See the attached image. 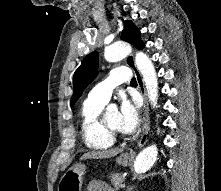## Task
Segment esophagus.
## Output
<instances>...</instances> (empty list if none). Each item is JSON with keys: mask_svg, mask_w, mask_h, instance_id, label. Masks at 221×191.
<instances>
[{"mask_svg": "<svg viewBox=\"0 0 221 191\" xmlns=\"http://www.w3.org/2000/svg\"><path fill=\"white\" fill-rule=\"evenodd\" d=\"M127 61L132 66V68L134 70L139 90H140V92L143 96V99H144L143 133H142L141 138H140V140L138 142V145H137L140 148V147L144 146L146 144L147 140H148V132L150 130V127H149V124H150L149 106H148V100H147V96H146L144 81H143V78H142V75H141L140 71L138 70V68L135 65L133 56H129Z\"/></svg>", "mask_w": 221, "mask_h": 191, "instance_id": "obj_1", "label": "esophagus"}]
</instances>
